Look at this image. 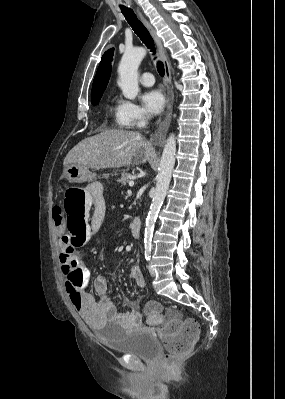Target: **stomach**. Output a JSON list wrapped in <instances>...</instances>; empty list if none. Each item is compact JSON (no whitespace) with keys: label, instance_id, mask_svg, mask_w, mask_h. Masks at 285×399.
<instances>
[{"label":"stomach","instance_id":"1","mask_svg":"<svg viewBox=\"0 0 285 399\" xmlns=\"http://www.w3.org/2000/svg\"><path fill=\"white\" fill-rule=\"evenodd\" d=\"M63 176L71 183L90 182L93 179L89 168L78 165H67L64 168Z\"/></svg>","mask_w":285,"mask_h":399}]
</instances>
